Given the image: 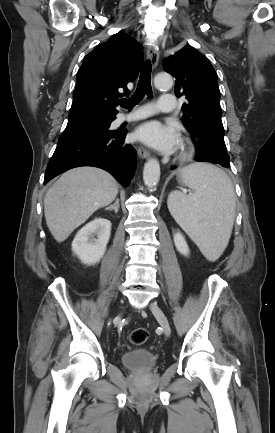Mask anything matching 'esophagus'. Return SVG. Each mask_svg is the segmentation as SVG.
<instances>
[{
	"label": "esophagus",
	"mask_w": 275,
	"mask_h": 433,
	"mask_svg": "<svg viewBox=\"0 0 275 433\" xmlns=\"http://www.w3.org/2000/svg\"><path fill=\"white\" fill-rule=\"evenodd\" d=\"M160 51L157 46L153 45L147 49V59L150 61L152 67H156L159 61ZM137 153L140 158L147 159L150 153L142 146L137 147Z\"/></svg>",
	"instance_id": "34e87169"
}]
</instances>
